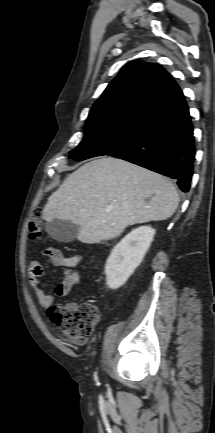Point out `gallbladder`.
Instances as JSON below:
<instances>
[{"label":"gallbladder","instance_id":"bac80fb5","mask_svg":"<svg viewBox=\"0 0 215 433\" xmlns=\"http://www.w3.org/2000/svg\"><path fill=\"white\" fill-rule=\"evenodd\" d=\"M46 231L54 240L69 243L76 238L79 232V226L73 224L71 221L54 219L47 222Z\"/></svg>","mask_w":215,"mask_h":433}]
</instances>
